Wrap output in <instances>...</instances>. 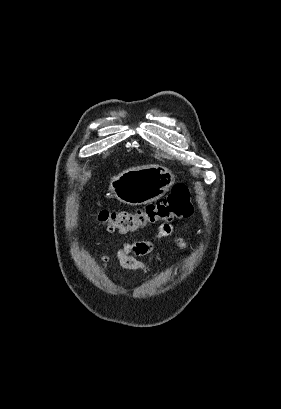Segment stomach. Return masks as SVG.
I'll return each mask as SVG.
<instances>
[{"instance_id": "stomach-1", "label": "stomach", "mask_w": 281, "mask_h": 409, "mask_svg": "<svg viewBox=\"0 0 281 409\" xmlns=\"http://www.w3.org/2000/svg\"><path fill=\"white\" fill-rule=\"evenodd\" d=\"M174 182V174L166 166L146 164L127 168L113 176L109 190L125 205H147L163 196Z\"/></svg>"}]
</instances>
